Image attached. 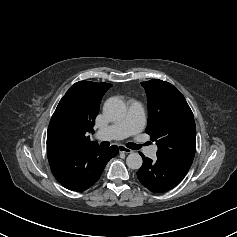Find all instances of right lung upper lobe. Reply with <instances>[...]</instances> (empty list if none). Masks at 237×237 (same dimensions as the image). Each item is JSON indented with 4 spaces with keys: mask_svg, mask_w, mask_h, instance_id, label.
<instances>
[{
    "mask_svg": "<svg viewBox=\"0 0 237 237\" xmlns=\"http://www.w3.org/2000/svg\"><path fill=\"white\" fill-rule=\"evenodd\" d=\"M111 86L89 81H79L71 86L60 100L48 127L56 126L63 131L61 146L76 150L97 146L90 141L87 132H93L100 101Z\"/></svg>",
    "mask_w": 237,
    "mask_h": 237,
    "instance_id": "obj_1",
    "label": "right lung upper lobe"
}]
</instances>
